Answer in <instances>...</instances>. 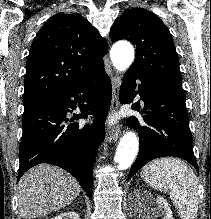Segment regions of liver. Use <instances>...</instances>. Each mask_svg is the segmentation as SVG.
Wrapping results in <instances>:
<instances>
[{
    "instance_id": "6515ba94",
    "label": "liver",
    "mask_w": 211,
    "mask_h": 219,
    "mask_svg": "<svg viewBox=\"0 0 211 219\" xmlns=\"http://www.w3.org/2000/svg\"><path fill=\"white\" fill-rule=\"evenodd\" d=\"M80 192L81 186L68 172L57 166L40 164L19 181V214L24 219L45 216L71 204Z\"/></svg>"
}]
</instances>
